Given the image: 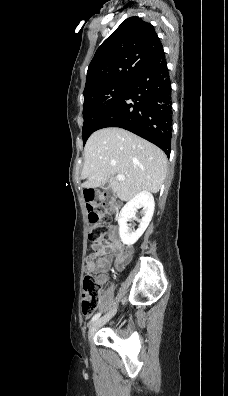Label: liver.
<instances>
[{
    "instance_id": "1",
    "label": "liver",
    "mask_w": 228,
    "mask_h": 396,
    "mask_svg": "<svg viewBox=\"0 0 228 396\" xmlns=\"http://www.w3.org/2000/svg\"><path fill=\"white\" fill-rule=\"evenodd\" d=\"M81 178L84 188H96L109 181L112 192L122 201L142 191L157 193L167 173L164 152L147 140L122 128L94 132L86 142ZM118 174L125 180L116 179Z\"/></svg>"
}]
</instances>
